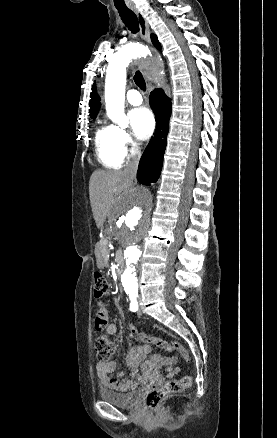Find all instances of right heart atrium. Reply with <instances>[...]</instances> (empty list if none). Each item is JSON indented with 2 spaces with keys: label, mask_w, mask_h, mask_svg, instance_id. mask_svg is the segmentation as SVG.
<instances>
[{
  "label": "right heart atrium",
  "mask_w": 277,
  "mask_h": 438,
  "mask_svg": "<svg viewBox=\"0 0 277 438\" xmlns=\"http://www.w3.org/2000/svg\"><path fill=\"white\" fill-rule=\"evenodd\" d=\"M117 145L124 158L135 154L139 148V144L133 139L131 134L121 128L117 130Z\"/></svg>",
  "instance_id": "right-heart-atrium-1"
}]
</instances>
